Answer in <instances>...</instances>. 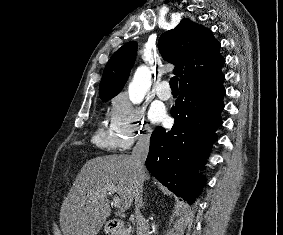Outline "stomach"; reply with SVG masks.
I'll list each match as a JSON object with an SVG mask.
<instances>
[{"label": "stomach", "instance_id": "obj_1", "mask_svg": "<svg viewBox=\"0 0 283 235\" xmlns=\"http://www.w3.org/2000/svg\"><path fill=\"white\" fill-rule=\"evenodd\" d=\"M104 230H105L106 233H110L111 232V230L109 228H107V226H105Z\"/></svg>", "mask_w": 283, "mask_h": 235}]
</instances>
